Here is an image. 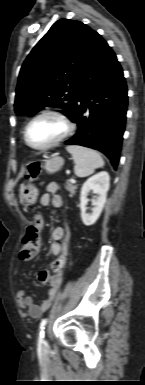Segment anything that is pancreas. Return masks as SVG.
Segmentation results:
<instances>
[{
    "mask_svg": "<svg viewBox=\"0 0 145 385\" xmlns=\"http://www.w3.org/2000/svg\"><path fill=\"white\" fill-rule=\"evenodd\" d=\"M65 188L67 191L70 192V196H73L76 193L77 185L68 181L66 182Z\"/></svg>",
    "mask_w": 145,
    "mask_h": 385,
    "instance_id": "cf45deb5",
    "label": "pancreas"
}]
</instances>
